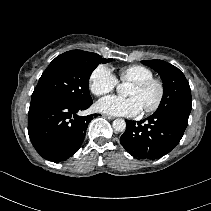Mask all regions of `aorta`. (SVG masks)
Instances as JSON below:
<instances>
[{
    "mask_svg": "<svg viewBox=\"0 0 211 211\" xmlns=\"http://www.w3.org/2000/svg\"><path fill=\"white\" fill-rule=\"evenodd\" d=\"M124 89L123 85L117 87L118 92H122ZM113 128L117 132H122L126 129V122L123 119H116L112 124Z\"/></svg>",
    "mask_w": 211,
    "mask_h": 211,
    "instance_id": "obj_1",
    "label": "aorta"
}]
</instances>
